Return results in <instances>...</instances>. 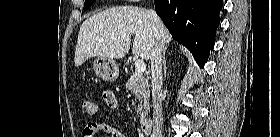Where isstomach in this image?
<instances>
[{
  "label": "stomach",
  "instance_id": "obj_1",
  "mask_svg": "<svg viewBox=\"0 0 280 137\" xmlns=\"http://www.w3.org/2000/svg\"><path fill=\"white\" fill-rule=\"evenodd\" d=\"M93 65L96 75L105 81H114L119 75L118 65L112 59L97 57Z\"/></svg>",
  "mask_w": 280,
  "mask_h": 137
}]
</instances>
